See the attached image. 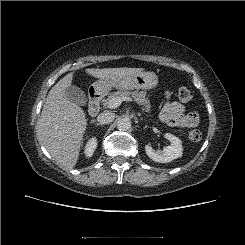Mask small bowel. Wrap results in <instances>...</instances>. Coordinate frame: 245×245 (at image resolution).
I'll list each match as a JSON object with an SVG mask.
<instances>
[{
	"label": "small bowel",
	"instance_id": "c3829d8e",
	"mask_svg": "<svg viewBox=\"0 0 245 245\" xmlns=\"http://www.w3.org/2000/svg\"><path fill=\"white\" fill-rule=\"evenodd\" d=\"M165 96L166 101L161 110V118L165 123L181 128H193L199 124L200 117L197 112L186 113L182 103L170 100L169 91L165 92Z\"/></svg>",
	"mask_w": 245,
	"mask_h": 245
}]
</instances>
